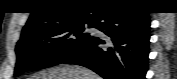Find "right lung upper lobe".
<instances>
[{"mask_svg":"<svg viewBox=\"0 0 177 79\" xmlns=\"http://www.w3.org/2000/svg\"><path fill=\"white\" fill-rule=\"evenodd\" d=\"M112 6L114 5L110 3H86L84 0L36 1L21 37L49 26L76 21H92L102 10Z\"/></svg>","mask_w":177,"mask_h":79,"instance_id":"right-lung-upper-lobe-1","label":"right lung upper lobe"}]
</instances>
